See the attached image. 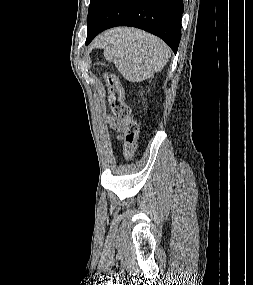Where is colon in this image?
<instances>
[{
    "label": "colon",
    "mask_w": 253,
    "mask_h": 285,
    "mask_svg": "<svg viewBox=\"0 0 253 285\" xmlns=\"http://www.w3.org/2000/svg\"><path fill=\"white\" fill-rule=\"evenodd\" d=\"M104 79L112 90L111 108L114 116L124 124L125 144L124 157L130 161L136 151L138 137V124L131 115V109L125 102L124 89L118 77L111 72L104 73Z\"/></svg>",
    "instance_id": "5ec220e1"
}]
</instances>
